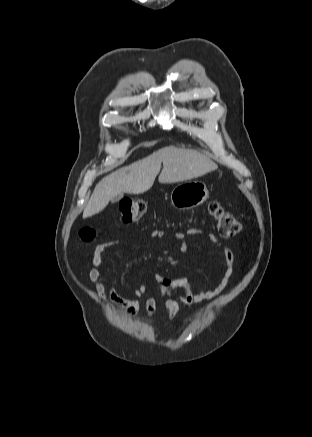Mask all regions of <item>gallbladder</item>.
I'll use <instances>...</instances> for the list:
<instances>
[{
	"label": "gallbladder",
	"mask_w": 312,
	"mask_h": 437,
	"mask_svg": "<svg viewBox=\"0 0 312 437\" xmlns=\"http://www.w3.org/2000/svg\"><path fill=\"white\" fill-rule=\"evenodd\" d=\"M123 198V194L116 196L113 201L118 202Z\"/></svg>",
	"instance_id": "obj_1"
}]
</instances>
